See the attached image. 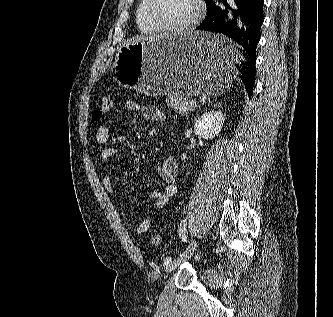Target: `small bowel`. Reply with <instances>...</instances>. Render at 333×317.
I'll use <instances>...</instances> for the list:
<instances>
[{
  "label": "small bowel",
  "mask_w": 333,
  "mask_h": 317,
  "mask_svg": "<svg viewBox=\"0 0 333 317\" xmlns=\"http://www.w3.org/2000/svg\"><path fill=\"white\" fill-rule=\"evenodd\" d=\"M125 107L129 111H140L150 121L162 123L167 120L166 114L155 106H141L135 100H127ZM95 140L99 145L104 146L101 152V159L104 162L117 155V149L110 145V128L108 125L102 124L96 129ZM177 172L176 159L173 156L165 157L161 165L157 168V174L164 182V188L162 191L152 190L149 192V198L153 201V211L135 226V231L138 234H143L149 230L154 218V211L163 208L177 194ZM102 183L107 192L114 196L115 191L112 177L109 174L104 175ZM122 221L126 226H133V223L125 217L122 218Z\"/></svg>",
  "instance_id": "small-bowel-1"
}]
</instances>
